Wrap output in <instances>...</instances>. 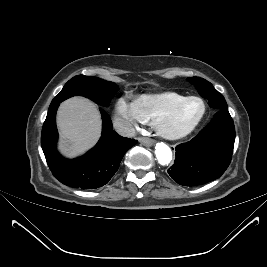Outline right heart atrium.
Segmentation results:
<instances>
[{
	"instance_id": "1",
	"label": "right heart atrium",
	"mask_w": 267,
	"mask_h": 267,
	"mask_svg": "<svg viewBox=\"0 0 267 267\" xmlns=\"http://www.w3.org/2000/svg\"><path fill=\"white\" fill-rule=\"evenodd\" d=\"M115 120L124 133H131L139 125L146 123L140 114L136 102L120 97L115 104Z\"/></svg>"
}]
</instances>
